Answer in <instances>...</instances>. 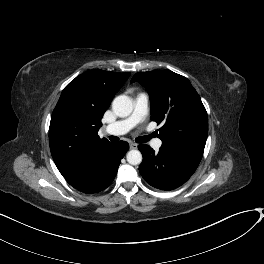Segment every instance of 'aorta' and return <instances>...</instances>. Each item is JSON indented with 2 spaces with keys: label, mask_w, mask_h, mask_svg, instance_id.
I'll use <instances>...</instances> for the list:
<instances>
[{
  "label": "aorta",
  "mask_w": 264,
  "mask_h": 264,
  "mask_svg": "<svg viewBox=\"0 0 264 264\" xmlns=\"http://www.w3.org/2000/svg\"><path fill=\"white\" fill-rule=\"evenodd\" d=\"M112 109L119 117L129 116L133 110L131 98L126 95L117 96L112 102ZM126 158L131 165H139L142 162V154L138 150H130Z\"/></svg>",
  "instance_id": "1"
}]
</instances>
